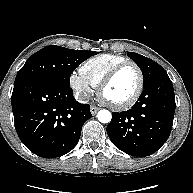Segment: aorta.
<instances>
[{
    "mask_svg": "<svg viewBox=\"0 0 193 193\" xmlns=\"http://www.w3.org/2000/svg\"><path fill=\"white\" fill-rule=\"evenodd\" d=\"M97 118L101 123H109L112 119V115L110 111L103 109L98 112Z\"/></svg>",
    "mask_w": 193,
    "mask_h": 193,
    "instance_id": "obj_1",
    "label": "aorta"
}]
</instances>
